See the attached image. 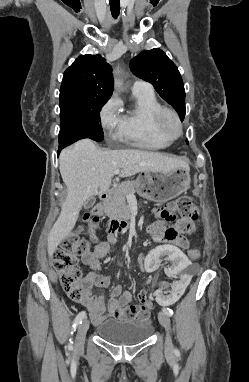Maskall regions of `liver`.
<instances>
[{"label":"liver","instance_id":"liver-1","mask_svg":"<svg viewBox=\"0 0 249 382\" xmlns=\"http://www.w3.org/2000/svg\"><path fill=\"white\" fill-rule=\"evenodd\" d=\"M59 168L67 197L61 213L48 235L50 256L70 234L86 200L108 191L114 171L120 177L139 172H170L177 168L189 170V164L178 158L137 149L103 150L90 139H82L64 149L59 157Z\"/></svg>","mask_w":249,"mask_h":382}]
</instances>
